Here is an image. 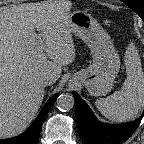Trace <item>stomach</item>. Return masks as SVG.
Here are the masks:
<instances>
[{"label":"stomach","instance_id":"stomach-1","mask_svg":"<svg viewBox=\"0 0 144 144\" xmlns=\"http://www.w3.org/2000/svg\"><path fill=\"white\" fill-rule=\"evenodd\" d=\"M72 33L81 38L90 48L93 63L76 72L71 83H82L93 96L108 94L120 69V58L108 33L87 11L70 13Z\"/></svg>","mask_w":144,"mask_h":144}]
</instances>
